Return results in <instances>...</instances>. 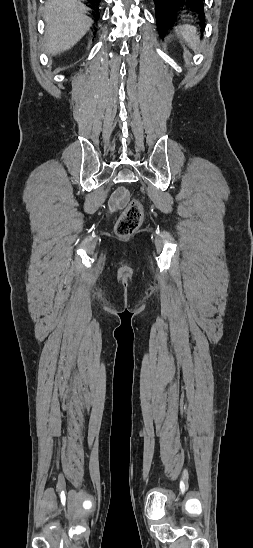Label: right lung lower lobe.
Instances as JSON below:
<instances>
[{"label":"right lung lower lobe","instance_id":"obj_1","mask_svg":"<svg viewBox=\"0 0 253 548\" xmlns=\"http://www.w3.org/2000/svg\"><path fill=\"white\" fill-rule=\"evenodd\" d=\"M88 1L98 8V5L101 0H88Z\"/></svg>","mask_w":253,"mask_h":548}]
</instances>
